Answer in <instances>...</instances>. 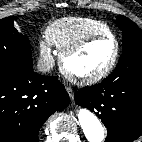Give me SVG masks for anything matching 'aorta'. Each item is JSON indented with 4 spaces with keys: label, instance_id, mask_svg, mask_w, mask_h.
<instances>
[{
    "label": "aorta",
    "instance_id": "1",
    "mask_svg": "<svg viewBox=\"0 0 142 142\" xmlns=\"http://www.w3.org/2000/svg\"><path fill=\"white\" fill-rule=\"evenodd\" d=\"M79 124L89 142H102L105 138L104 128L98 117L87 108L77 112Z\"/></svg>",
    "mask_w": 142,
    "mask_h": 142
}]
</instances>
